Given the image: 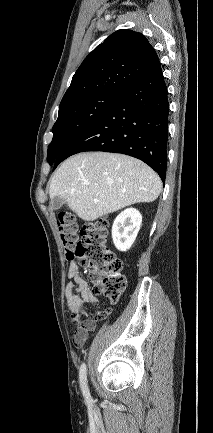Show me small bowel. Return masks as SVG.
Returning a JSON list of instances; mask_svg holds the SVG:
<instances>
[{
  "label": "small bowel",
  "mask_w": 213,
  "mask_h": 433,
  "mask_svg": "<svg viewBox=\"0 0 213 433\" xmlns=\"http://www.w3.org/2000/svg\"><path fill=\"white\" fill-rule=\"evenodd\" d=\"M69 282L65 287L67 306L73 315L85 314L86 305L96 304L98 298L83 279L82 274L75 263L68 269ZM96 327L93 320H85L81 329H77L73 341L77 347H82L89 337V333Z\"/></svg>",
  "instance_id": "c3829d8e"
}]
</instances>
